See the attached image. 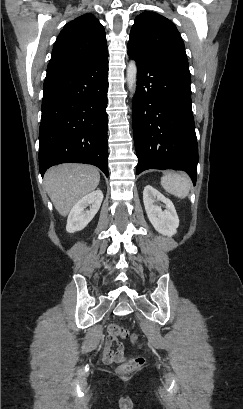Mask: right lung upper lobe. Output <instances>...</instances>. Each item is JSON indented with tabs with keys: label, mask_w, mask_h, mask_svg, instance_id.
Here are the masks:
<instances>
[{
	"label": "right lung upper lobe",
	"mask_w": 243,
	"mask_h": 409,
	"mask_svg": "<svg viewBox=\"0 0 243 409\" xmlns=\"http://www.w3.org/2000/svg\"><path fill=\"white\" fill-rule=\"evenodd\" d=\"M107 52L105 30L87 13L67 23L54 44L47 74L85 65Z\"/></svg>",
	"instance_id": "cb5924a9"
}]
</instances>
